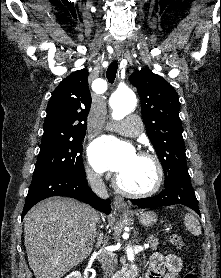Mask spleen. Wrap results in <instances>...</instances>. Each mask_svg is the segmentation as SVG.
<instances>
[{
	"label": "spleen",
	"mask_w": 221,
	"mask_h": 278,
	"mask_svg": "<svg viewBox=\"0 0 221 278\" xmlns=\"http://www.w3.org/2000/svg\"><path fill=\"white\" fill-rule=\"evenodd\" d=\"M186 228L195 236L201 234V226L197 218L192 214H186L184 218Z\"/></svg>",
	"instance_id": "obj_1"
}]
</instances>
